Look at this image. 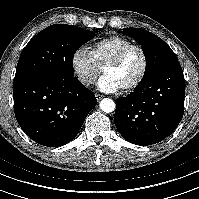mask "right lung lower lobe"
Wrapping results in <instances>:
<instances>
[{"mask_svg":"<svg viewBox=\"0 0 199 199\" xmlns=\"http://www.w3.org/2000/svg\"><path fill=\"white\" fill-rule=\"evenodd\" d=\"M15 117L38 144L58 147L72 141L96 105L77 78L31 76L13 82Z\"/></svg>","mask_w":199,"mask_h":199,"instance_id":"right-lung-lower-lobe-1","label":"right lung lower lobe"}]
</instances>
